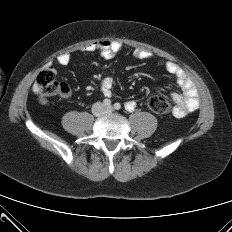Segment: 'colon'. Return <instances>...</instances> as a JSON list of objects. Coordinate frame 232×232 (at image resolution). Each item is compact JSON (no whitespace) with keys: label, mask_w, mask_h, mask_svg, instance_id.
I'll return each mask as SVG.
<instances>
[{"label":"colon","mask_w":232,"mask_h":232,"mask_svg":"<svg viewBox=\"0 0 232 232\" xmlns=\"http://www.w3.org/2000/svg\"><path fill=\"white\" fill-rule=\"evenodd\" d=\"M35 88L43 98L64 92L62 84L55 79L54 71L49 67L40 70L35 80ZM148 106L152 112L159 115H168L171 111L170 102L165 97L157 94L149 97Z\"/></svg>","instance_id":"obj_1"}]
</instances>
